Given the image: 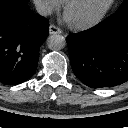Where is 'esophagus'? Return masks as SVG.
Here are the masks:
<instances>
[{
    "mask_svg": "<svg viewBox=\"0 0 128 128\" xmlns=\"http://www.w3.org/2000/svg\"><path fill=\"white\" fill-rule=\"evenodd\" d=\"M49 33L50 34H61L62 33V30L59 27L51 24L49 26Z\"/></svg>",
    "mask_w": 128,
    "mask_h": 128,
    "instance_id": "obj_1",
    "label": "esophagus"
}]
</instances>
